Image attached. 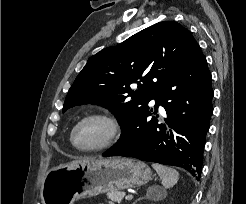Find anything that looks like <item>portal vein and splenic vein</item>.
<instances>
[{
  "label": "portal vein and splenic vein",
  "instance_id": "obj_1",
  "mask_svg": "<svg viewBox=\"0 0 246 204\" xmlns=\"http://www.w3.org/2000/svg\"><path fill=\"white\" fill-rule=\"evenodd\" d=\"M132 198H133L132 195H127V196L125 197L126 200H130V199H132Z\"/></svg>",
  "mask_w": 246,
  "mask_h": 204
}]
</instances>
